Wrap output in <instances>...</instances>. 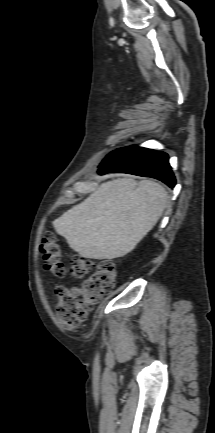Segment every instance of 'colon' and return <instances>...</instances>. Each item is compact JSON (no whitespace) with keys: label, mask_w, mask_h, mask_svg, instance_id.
Masks as SVG:
<instances>
[{"label":"colon","mask_w":215,"mask_h":433,"mask_svg":"<svg viewBox=\"0 0 215 433\" xmlns=\"http://www.w3.org/2000/svg\"><path fill=\"white\" fill-rule=\"evenodd\" d=\"M40 252L46 268L56 277L70 273L74 278H85L78 287L57 290L56 315L59 324L66 329L82 325L89 317L94 305L115 286L117 269L110 260L92 261L74 256L69 268L62 260V250L56 235L45 230L42 234Z\"/></svg>","instance_id":"colon-1"}]
</instances>
